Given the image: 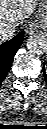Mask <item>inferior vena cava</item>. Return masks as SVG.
<instances>
[{
    "mask_svg": "<svg viewBox=\"0 0 47 129\" xmlns=\"http://www.w3.org/2000/svg\"><path fill=\"white\" fill-rule=\"evenodd\" d=\"M15 35V29L13 27H1L0 40L6 41L13 38Z\"/></svg>",
    "mask_w": 47,
    "mask_h": 129,
    "instance_id": "inferior-vena-cava-1",
    "label": "inferior vena cava"
}]
</instances>
